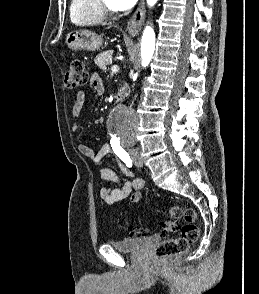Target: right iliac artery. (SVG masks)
<instances>
[{"instance_id":"right-iliac-artery-1","label":"right iliac artery","mask_w":259,"mask_h":294,"mask_svg":"<svg viewBox=\"0 0 259 294\" xmlns=\"http://www.w3.org/2000/svg\"><path fill=\"white\" fill-rule=\"evenodd\" d=\"M111 146L114 153L127 165V167H132V160L129 154L121 147L120 143L111 141Z\"/></svg>"}]
</instances>
